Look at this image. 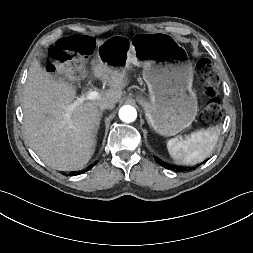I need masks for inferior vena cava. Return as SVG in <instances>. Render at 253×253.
Wrapping results in <instances>:
<instances>
[{
	"instance_id": "1",
	"label": "inferior vena cava",
	"mask_w": 253,
	"mask_h": 253,
	"mask_svg": "<svg viewBox=\"0 0 253 253\" xmlns=\"http://www.w3.org/2000/svg\"><path fill=\"white\" fill-rule=\"evenodd\" d=\"M114 106H115V104L112 101H109V100H104V101H101L99 103V108L101 110H104V109H113Z\"/></svg>"
}]
</instances>
